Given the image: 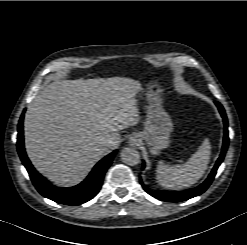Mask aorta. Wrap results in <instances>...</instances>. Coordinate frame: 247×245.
Instances as JSON below:
<instances>
[{
	"instance_id": "1",
	"label": "aorta",
	"mask_w": 247,
	"mask_h": 245,
	"mask_svg": "<svg viewBox=\"0 0 247 245\" xmlns=\"http://www.w3.org/2000/svg\"><path fill=\"white\" fill-rule=\"evenodd\" d=\"M120 157L122 162L129 166H135L140 163V154L132 147L124 148L120 153Z\"/></svg>"
}]
</instances>
